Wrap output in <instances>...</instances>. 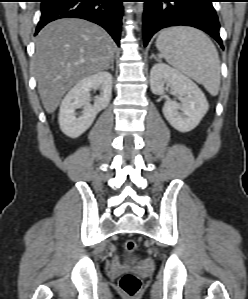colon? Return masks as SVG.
<instances>
[{
  "instance_id": "5ec220e1",
  "label": "colon",
  "mask_w": 248,
  "mask_h": 299,
  "mask_svg": "<svg viewBox=\"0 0 248 299\" xmlns=\"http://www.w3.org/2000/svg\"><path fill=\"white\" fill-rule=\"evenodd\" d=\"M136 247L137 242L134 239H127L124 243V248L128 253H132ZM119 286L126 296L133 297L139 292L141 281L135 274L126 273L120 278Z\"/></svg>"
}]
</instances>
